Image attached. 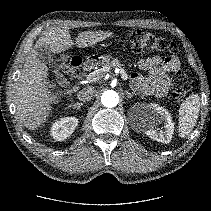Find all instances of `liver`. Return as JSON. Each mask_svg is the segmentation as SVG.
Returning <instances> with one entry per match:
<instances>
[{"label":"liver","mask_w":211,"mask_h":211,"mask_svg":"<svg viewBox=\"0 0 211 211\" xmlns=\"http://www.w3.org/2000/svg\"><path fill=\"white\" fill-rule=\"evenodd\" d=\"M112 35L108 31H85L77 38L76 47L85 48L105 40ZM74 45L70 32L66 29L56 28L45 32L35 43L27 56L23 71L12 90V99L16 106L17 115L23 125L35 130L46 122L52 111L50 104L55 101L57 94H49L50 88L47 82V67L37 56L36 49L39 46H47L53 53H61ZM73 90L67 91L71 95Z\"/></svg>","instance_id":"obj_1"}]
</instances>
